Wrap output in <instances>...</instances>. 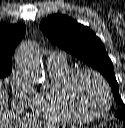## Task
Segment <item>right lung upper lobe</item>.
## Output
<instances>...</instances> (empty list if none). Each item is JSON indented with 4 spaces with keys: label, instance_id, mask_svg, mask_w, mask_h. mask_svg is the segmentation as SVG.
<instances>
[{
    "label": "right lung upper lobe",
    "instance_id": "obj_1",
    "mask_svg": "<svg viewBox=\"0 0 125 128\" xmlns=\"http://www.w3.org/2000/svg\"><path fill=\"white\" fill-rule=\"evenodd\" d=\"M25 32L26 27L21 23L0 24V64H12V53L23 39Z\"/></svg>",
    "mask_w": 125,
    "mask_h": 128
}]
</instances>
